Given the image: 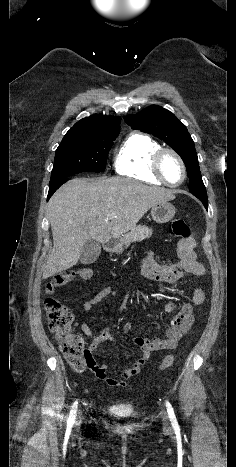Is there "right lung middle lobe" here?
<instances>
[{
  "instance_id": "obj_1",
  "label": "right lung middle lobe",
  "mask_w": 236,
  "mask_h": 467,
  "mask_svg": "<svg viewBox=\"0 0 236 467\" xmlns=\"http://www.w3.org/2000/svg\"><path fill=\"white\" fill-rule=\"evenodd\" d=\"M119 133H67L56 150L50 184L80 172L105 171L107 156Z\"/></svg>"
}]
</instances>
